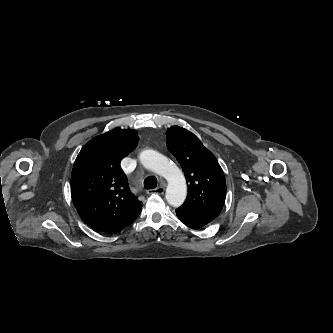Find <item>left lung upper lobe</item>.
Segmentation results:
<instances>
[{
  "label": "left lung upper lobe",
  "mask_w": 333,
  "mask_h": 333,
  "mask_svg": "<svg viewBox=\"0 0 333 333\" xmlns=\"http://www.w3.org/2000/svg\"><path fill=\"white\" fill-rule=\"evenodd\" d=\"M167 148L180 163L188 184L181 208L216 218L226 197V182L217 159L190 131L173 126L167 130Z\"/></svg>",
  "instance_id": "5c2ea615"
}]
</instances>
